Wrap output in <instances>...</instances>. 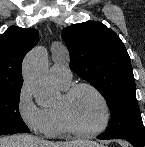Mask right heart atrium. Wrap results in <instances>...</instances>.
Instances as JSON below:
<instances>
[{"label": "right heart atrium", "instance_id": "1", "mask_svg": "<svg viewBox=\"0 0 145 147\" xmlns=\"http://www.w3.org/2000/svg\"><path fill=\"white\" fill-rule=\"evenodd\" d=\"M16 109L21 121L36 133H46L47 117L43 107L33 99L32 92L26 83L18 91Z\"/></svg>", "mask_w": 145, "mask_h": 147}]
</instances>
